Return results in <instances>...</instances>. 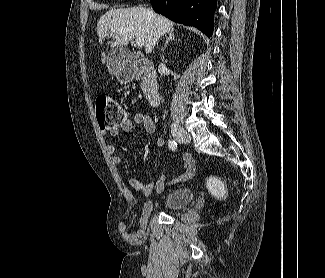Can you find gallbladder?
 <instances>
[{
  "label": "gallbladder",
  "mask_w": 325,
  "mask_h": 278,
  "mask_svg": "<svg viewBox=\"0 0 325 278\" xmlns=\"http://www.w3.org/2000/svg\"><path fill=\"white\" fill-rule=\"evenodd\" d=\"M123 59L134 60L136 55L122 46H115L110 50L107 57V67L110 74H117Z\"/></svg>",
  "instance_id": "obj_1"
}]
</instances>
